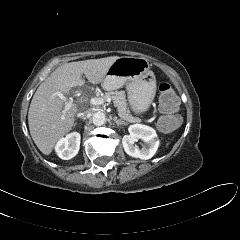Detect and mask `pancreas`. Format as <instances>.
<instances>
[{
    "mask_svg": "<svg viewBox=\"0 0 240 240\" xmlns=\"http://www.w3.org/2000/svg\"><path fill=\"white\" fill-rule=\"evenodd\" d=\"M102 98L106 101L107 99H112L115 107L119 112V115L122 119L126 120L129 123L139 122L138 118L133 117L130 114L128 109L126 95L124 91H111L105 93Z\"/></svg>",
    "mask_w": 240,
    "mask_h": 240,
    "instance_id": "obj_1",
    "label": "pancreas"
}]
</instances>
